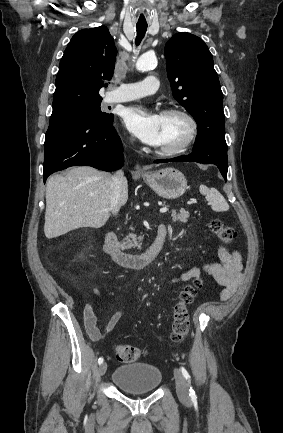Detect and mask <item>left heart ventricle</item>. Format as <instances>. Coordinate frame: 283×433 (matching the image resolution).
<instances>
[{
  "label": "left heart ventricle",
  "instance_id": "left-heart-ventricle-1",
  "mask_svg": "<svg viewBox=\"0 0 283 433\" xmlns=\"http://www.w3.org/2000/svg\"><path fill=\"white\" fill-rule=\"evenodd\" d=\"M163 143L160 151L177 148L189 134V124L180 115H162Z\"/></svg>",
  "mask_w": 283,
  "mask_h": 433
}]
</instances>
